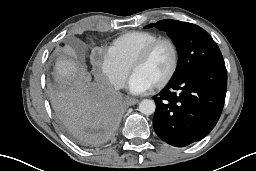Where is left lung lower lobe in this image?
Instances as JSON below:
<instances>
[{
    "instance_id": "obj_1",
    "label": "left lung lower lobe",
    "mask_w": 256,
    "mask_h": 171,
    "mask_svg": "<svg viewBox=\"0 0 256 171\" xmlns=\"http://www.w3.org/2000/svg\"><path fill=\"white\" fill-rule=\"evenodd\" d=\"M226 89L225 66L197 68L171 80L153 97L156 134L176 147L203 139L221 115Z\"/></svg>"
}]
</instances>
